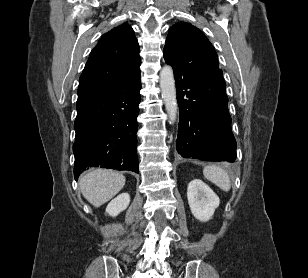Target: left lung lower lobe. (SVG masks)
<instances>
[{"label":"left lung lower lobe","mask_w":308,"mask_h":278,"mask_svg":"<svg viewBox=\"0 0 308 278\" xmlns=\"http://www.w3.org/2000/svg\"><path fill=\"white\" fill-rule=\"evenodd\" d=\"M175 83L180 110L178 153L204 161H235L236 141L222 70L189 78L175 76Z\"/></svg>","instance_id":"1"}]
</instances>
